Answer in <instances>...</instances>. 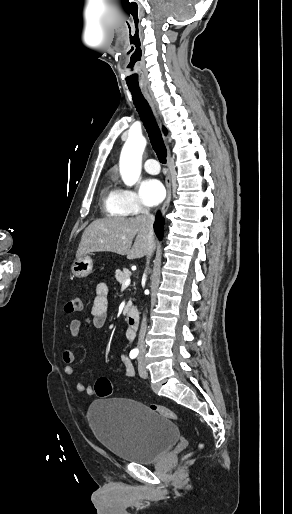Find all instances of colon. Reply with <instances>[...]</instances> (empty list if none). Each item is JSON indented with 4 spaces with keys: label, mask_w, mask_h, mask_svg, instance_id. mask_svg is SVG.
<instances>
[{
    "label": "colon",
    "mask_w": 292,
    "mask_h": 514,
    "mask_svg": "<svg viewBox=\"0 0 292 514\" xmlns=\"http://www.w3.org/2000/svg\"><path fill=\"white\" fill-rule=\"evenodd\" d=\"M66 312L68 313H74V312H81L84 310V302L80 296H76L72 299H70L65 307ZM94 391L100 397L101 399H107L111 396L112 393V383L110 379L106 376H100L97 378L95 384H94ZM150 410L158 415H160L163 418L170 419L177 421L179 420L178 414L165 406L157 405V404H151ZM204 448V444L199 442L196 446V450H202ZM194 452L190 453V456L193 455Z\"/></svg>",
    "instance_id": "1"
}]
</instances>
